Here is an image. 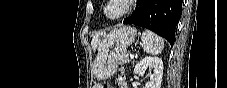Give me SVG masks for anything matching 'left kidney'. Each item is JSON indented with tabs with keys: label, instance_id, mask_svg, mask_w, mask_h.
Returning a JSON list of instances; mask_svg holds the SVG:
<instances>
[{
	"label": "left kidney",
	"instance_id": "1",
	"mask_svg": "<svg viewBox=\"0 0 227 88\" xmlns=\"http://www.w3.org/2000/svg\"><path fill=\"white\" fill-rule=\"evenodd\" d=\"M147 68L152 69L150 81L145 84V88H160L163 75V62L158 57H145L134 68V74L145 71ZM132 80V79H131Z\"/></svg>",
	"mask_w": 227,
	"mask_h": 88
}]
</instances>
